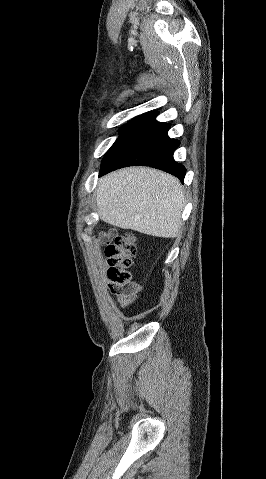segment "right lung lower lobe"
Returning <instances> with one entry per match:
<instances>
[{"label": "right lung lower lobe", "mask_w": 266, "mask_h": 479, "mask_svg": "<svg viewBox=\"0 0 266 479\" xmlns=\"http://www.w3.org/2000/svg\"><path fill=\"white\" fill-rule=\"evenodd\" d=\"M157 112H147L132 119L106 153L99 176L113 170L144 165L168 172L181 182L186 169L173 159L179 141L168 137L170 124L155 120Z\"/></svg>", "instance_id": "98d812e1"}]
</instances>
